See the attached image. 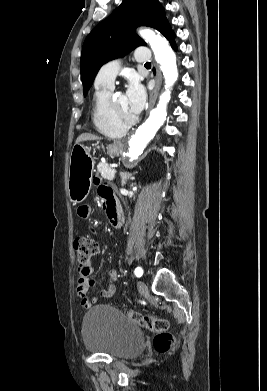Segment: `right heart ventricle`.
<instances>
[{
	"label": "right heart ventricle",
	"mask_w": 267,
	"mask_h": 391,
	"mask_svg": "<svg viewBox=\"0 0 267 391\" xmlns=\"http://www.w3.org/2000/svg\"><path fill=\"white\" fill-rule=\"evenodd\" d=\"M111 88L96 87L92 102V121L101 134L110 138L123 136L127 128L118 125L108 110V100Z\"/></svg>",
	"instance_id": "obj_1"
}]
</instances>
